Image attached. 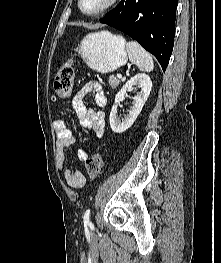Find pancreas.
<instances>
[{
  "mask_svg": "<svg viewBox=\"0 0 221 263\" xmlns=\"http://www.w3.org/2000/svg\"><path fill=\"white\" fill-rule=\"evenodd\" d=\"M119 83H120V80L116 76L112 75L109 77V85L113 89H115L119 85Z\"/></svg>",
  "mask_w": 221,
  "mask_h": 263,
  "instance_id": "obj_1",
  "label": "pancreas"
}]
</instances>
